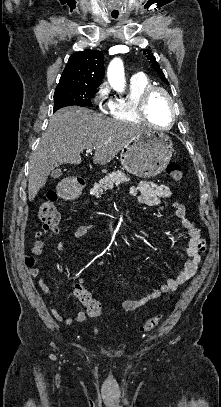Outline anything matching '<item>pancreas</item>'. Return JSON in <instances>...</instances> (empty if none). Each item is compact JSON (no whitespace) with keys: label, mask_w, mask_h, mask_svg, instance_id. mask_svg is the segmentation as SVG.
<instances>
[{"label":"pancreas","mask_w":221,"mask_h":407,"mask_svg":"<svg viewBox=\"0 0 221 407\" xmlns=\"http://www.w3.org/2000/svg\"><path fill=\"white\" fill-rule=\"evenodd\" d=\"M128 181H130V178L121 170L112 171L98 183L94 184L93 188H91V193L93 196L99 198L105 191L112 189L114 185Z\"/></svg>","instance_id":"pancreas-1"}]
</instances>
